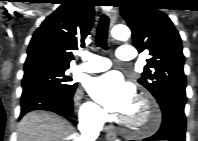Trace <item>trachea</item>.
Wrapping results in <instances>:
<instances>
[{
  "label": "trachea",
  "mask_w": 198,
  "mask_h": 141,
  "mask_svg": "<svg viewBox=\"0 0 198 141\" xmlns=\"http://www.w3.org/2000/svg\"><path fill=\"white\" fill-rule=\"evenodd\" d=\"M108 26H109V18L105 14H103L98 24L95 42L98 47H101L105 50L108 49V45H107Z\"/></svg>",
  "instance_id": "trachea-1"
}]
</instances>
